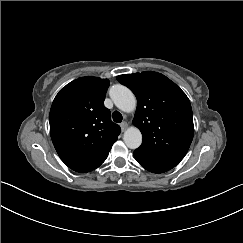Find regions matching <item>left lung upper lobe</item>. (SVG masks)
<instances>
[{
    "label": "left lung upper lobe",
    "instance_id": "1",
    "mask_svg": "<svg viewBox=\"0 0 243 243\" xmlns=\"http://www.w3.org/2000/svg\"><path fill=\"white\" fill-rule=\"evenodd\" d=\"M137 98L133 124L143 141L134 152L154 163L174 167L186 155L194 135L191 104L169 78L146 71L117 76Z\"/></svg>",
    "mask_w": 243,
    "mask_h": 243
}]
</instances>
